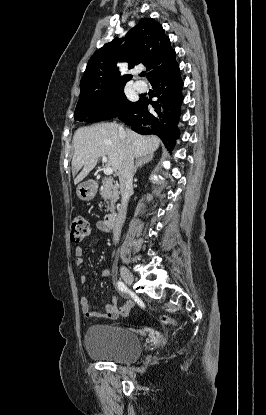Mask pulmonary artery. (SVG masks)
<instances>
[{
    "label": "pulmonary artery",
    "mask_w": 266,
    "mask_h": 415,
    "mask_svg": "<svg viewBox=\"0 0 266 415\" xmlns=\"http://www.w3.org/2000/svg\"><path fill=\"white\" fill-rule=\"evenodd\" d=\"M134 87L136 88V90H138L139 92H145L147 90V85L145 82L143 81H136L134 83Z\"/></svg>",
    "instance_id": "obj_1"
}]
</instances>
